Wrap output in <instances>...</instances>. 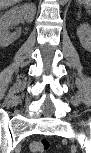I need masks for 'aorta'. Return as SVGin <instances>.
<instances>
[{
  "mask_svg": "<svg viewBox=\"0 0 91 153\" xmlns=\"http://www.w3.org/2000/svg\"><path fill=\"white\" fill-rule=\"evenodd\" d=\"M67 0H61L62 4H64Z\"/></svg>",
  "mask_w": 91,
  "mask_h": 153,
  "instance_id": "aorta-1",
  "label": "aorta"
}]
</instances>
